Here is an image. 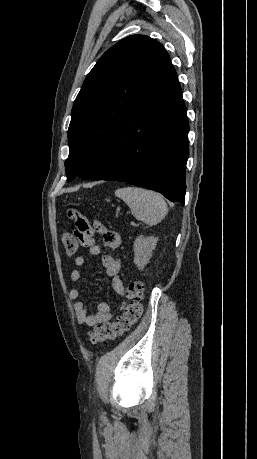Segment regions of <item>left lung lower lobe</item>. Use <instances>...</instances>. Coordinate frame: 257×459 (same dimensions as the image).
<instances>
[{"mask_svg":"<svg viewBox=\"0 0 257 459\" xmlns=\"http://www.w3.org/2000/svg\"><path fill=\"white\" fill-rule=\"evenodd\" d=\"M188 131L182 90L168 58L119 124L95 180L145 187L184 204Z\"/></svg>","mask_w":257,"mask_h":459,"instance_id":"1","label":"left lung lower lobe"}]
</instances>
